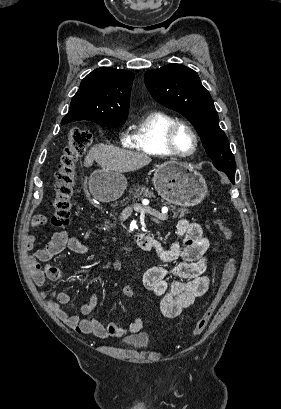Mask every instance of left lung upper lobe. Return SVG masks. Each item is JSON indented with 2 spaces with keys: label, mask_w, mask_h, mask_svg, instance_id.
Here are the masks:
<instances>
[{
  "label": "left lung upper lobe",
  "mask_w": 281,
  "mask_h": 409,
  "mask_svg": "<svg viewBox=\"0 0 281 409\" xmlns=\"http://www.w3.org/2000/svg\"><path fill=\"white\" fill-rule=\"evenodd\" d=\"M145 84L153 98L185 116L197 130L206 153L220 170L235 172L236 163L209 92L198 74L181 64L147 71Z\"/></svg>",
  "instance_id": "obj_1"
}]
</instances>
